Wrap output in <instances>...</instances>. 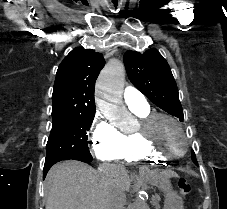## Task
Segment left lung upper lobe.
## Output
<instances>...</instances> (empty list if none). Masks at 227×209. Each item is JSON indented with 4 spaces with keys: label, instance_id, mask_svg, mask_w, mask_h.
Here are the masks:
<instances>
[{
    "label": "left lung upper lobe",
    "instance_id": "left-lung-upper-lobe-1",
    "mask_svg": "<svg viewBox=\"0 0 227 209\" xmlns=\"http://www.w3.org/2000/svg\"><path fill=\"white\" fill-rule=\"evenodd\" d=\"M130 81L159 108L183 121L176 82L167 61L156 49L143 54L127 51L123 57ZM194 163L197 160L192 151Z\"/></svg>",
    "mask_w": 227,
    "mask_h": 209
}]
</instances>
